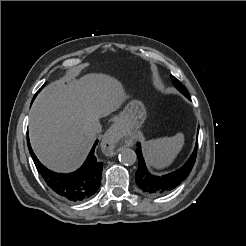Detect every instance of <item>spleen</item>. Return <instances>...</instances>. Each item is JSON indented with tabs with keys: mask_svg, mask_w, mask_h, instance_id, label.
<instances>
[{
	"mask_svg": "<svg viewBox=\"0 0 246 246\" xmlns=\"http://www.w3.org/2000/svg\"><path fill=\"white\" fill-rule=\"evenodd\" d=\"M184 145V134L152 139L143 143L147 163L156 169L170 166Z\"/></svg>",
	"mask_w": 246,
	"mask_h": 246,
	"instance_id": "1",
	"label": "spleen"
}]
</instances>
